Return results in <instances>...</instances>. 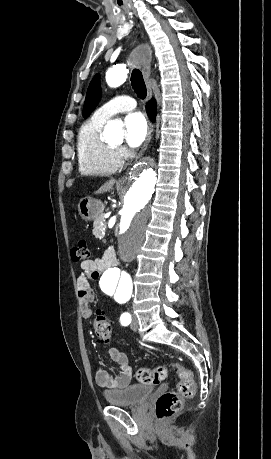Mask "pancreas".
I'll return each instance as SVG.
<instances>
[{
  "instance_id": "1",
  "label": "pancreas",
  "mask_w": 271,
  "mask_h": 459,
  "mask_svg": "<svg viewBox=\"0 0 271 459\" xmlns=\"http://www.w3.org/2000/svg\"><path fill=\"white\" fill-rule=\"evenodd\" d=\"M104 223H106L104 219H99L97 224H94L93 233L97 239H102L106 233L105 228H103Z\"/></svg>"
}]
</instances>
